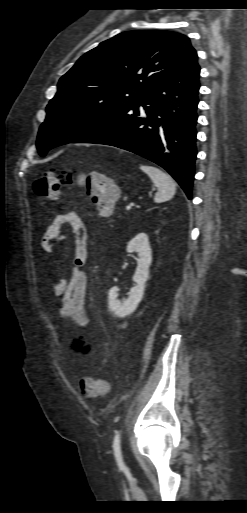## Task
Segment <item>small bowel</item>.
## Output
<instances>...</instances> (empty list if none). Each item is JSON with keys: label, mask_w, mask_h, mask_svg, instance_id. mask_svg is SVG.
Masks as SVG:
<instances>
[{"label": "small bowel", "mask_w": 247, "mask_h": 513, "mask_svg": "<svg viewBox=\"0 0 247 513\" xmlns=\"http://www.w3.org/2000/svg\"><path fill=\"white\" fill-rule=\"evenodd\" d=\"M65 226H69L74 234L72 271L69 278L60 277L53 283L51 292L59 298L57 315L60 318L71 319L81 328H87L89 316L85 307V298L88 277L84 271L87 261V233L84 221L76 212L56 215L43 232L40 246L43 252L52 253L56 245L67 237L63 230ZM84 348L87 346L84 345Z\"/></svg>", "instance_id": "c3829d8e"}]
</instances>
